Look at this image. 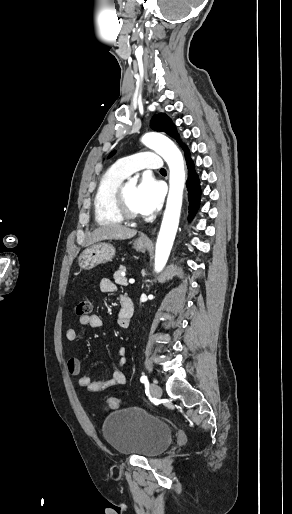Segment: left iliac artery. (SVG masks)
Here are the masks:
<instances>
[{"label": "left iliac artery", "instance_id": "1", "mask_svg": "<svg viewBox=\"0 0 292 514\" xmlns=\"http://www.w3.org/2000/svg\"><path fill=\"white\" fill-rule=\"evenodd\" d=\"M140 381H141L142 383H148L147 376L143 375V376L140 378Z\"/></svg>", "mask_w": 292, "mask_h": 514}]
</instances>
